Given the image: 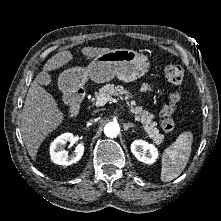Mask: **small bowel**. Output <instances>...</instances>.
<instances>
[{"instance_id": "1", "label": "small bowel", "mask_w": 221, "mask_h": 221, "mask_svg": "<svg viewBox=\"0 0 221 221\" xmlns=\"http://www.w3.org/2000/svg\"><path fill=\"white\" fill-rule=\"evenodd\" d=\"M144 89H145V90H149L150 87H149L148 85H146V86H144Z\"/></svg>"}]
</instances>
